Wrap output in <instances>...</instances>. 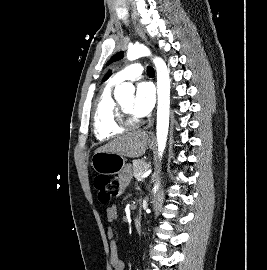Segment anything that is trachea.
I'll list each match as a JSON object with an SVG mask.
<instances>
[{
  "label": "trachea",
  "mask_w": 267,
  "mask_h": 270,
  "mask_svg": "<svg viewBox=\"0 0 267 270\" xmlns=\"http://www.w3.org/2000/svg\"><path fill=\"white\" fill-rule=\"evenodd\" d=\"M147 73H148V75H154V69L151 66H148Z\"/></svg>",
  "instance_id": "1"
}]
</instances>
